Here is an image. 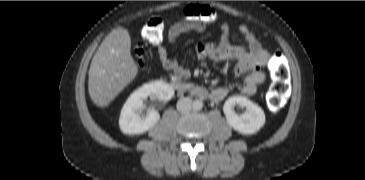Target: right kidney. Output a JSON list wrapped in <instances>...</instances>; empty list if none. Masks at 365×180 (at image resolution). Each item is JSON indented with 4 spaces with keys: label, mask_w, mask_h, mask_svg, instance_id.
<instances>
[{
    "label": "right kidney",
    "mask_w": 365,
    "mask_h": 180,
    "mask_svg": "<svg viewBox=\"0 0 365 180\" xmlns=\"http://www.w3.org/2000/svg\"><path fill=\"white\" fill-rule=\"evenodd\" d=\"M174 95V89L168 83L158 80L146 83L135 90L125 102L119 117L120 130L126 135L142 134L159 121L158 111L151 110L145 118L140 117L143 108V100L148 96L169 101Z\"/></svg>",
    "instance_id": "1"
}]
</instances>
